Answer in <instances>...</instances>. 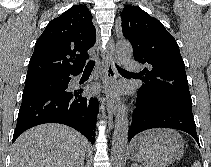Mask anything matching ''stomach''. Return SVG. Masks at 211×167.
I'll return each instance as SVG.
<instances>
[{"label":"stomach","instance_id":"stomach-1","mask_svg":"<svg viewBox=\"0 0 211 167\" xmlns=\"http://www.w3.org/2000/svg\"><path fill=\"white\" fill-rule=\"evenodd\" d=\"M183 146L178 132L152 129L141 133L130 143L128 156L143 167H167L181 157Z\"/></svg>","mask_w":211,"mask_h":167}]
</instances>
